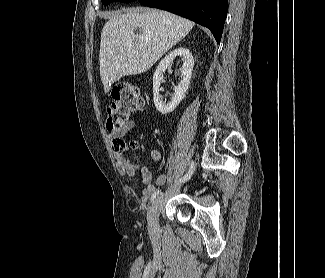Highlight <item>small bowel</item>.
I'll list each match as a JSON object with an SVG mask.
<instances>
[{
    "mask_svg": "<svg viewBox=\"0 0 325 278\" xmlns=\"http://www.w3.org/2000/svg\"><path fill=\"white\" fill-rule=\"evenodd\" d=\"M136 127L134 120H129L123 124L119 129L112 132L109 137L112 142H116L121 137L125 136L127 133L132 131ZM117 159V168L119 173L127 178L134 179L137 175V172L140 173L141 182L144 184V189L141 192L140 203L145 205L150 196L153 195L156 185H162L166 181V175L160 174L155 179V184L152 183V174L148 167L134 163L130 157L121 155L118 151H115ZM161 157V154L158 150L153 149L150 151V158L153 161H158Z\"/></svg>",
    "mask_w": 325,
    "mask_h": 278,
    "instance_id": "1",
    "label": "small bowel"
}]
</instances>
